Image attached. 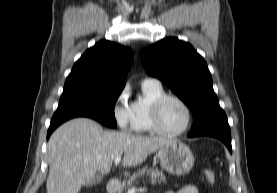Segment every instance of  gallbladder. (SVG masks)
Instances as JSON below:
<instances>
[{
  "instance_id": "1",
  "label": "gallbladder",
  "mask_w": 277,
  "mask_h": 193,
  "mask_svg": "<svg viewBox=\"0 0 277 193\" xmlns=\"http://www.w3.org/2000/svg\"><path fill=\"white\" fill-rule=\"evenodd\" d=\"M102 181V177L101 176H95L93 179H91L90 181H87L85 183L86 187H92L94 185H97L98 183H100Z\"/></svg>"
}]
</instances>
